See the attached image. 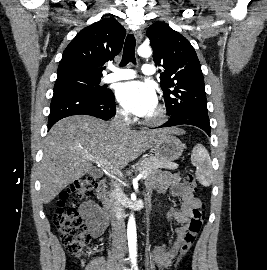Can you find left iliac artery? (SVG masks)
Segmentation results:
<instances>
[{
	"instance_id": "1",
	"label": "left iliac artery",
	"mask_w": 267,
	"mask_h": 270,
	"mask_svg": "<svg viewBox=\"0 0 267 270\" xmlns=\"http://www.w3.org/2000/svg\"><path fill=\"white\" fill-rule=\"evenodd\" d=\"M135 270H138V267L137 266H135Z\"/></svg>"
}]
</instances>
